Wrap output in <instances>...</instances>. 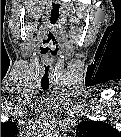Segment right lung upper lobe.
Masks as SVG:
<instances>
[{
	"instance_id": "cb5924a9",
	"label": "right lung upper lobe",
	"mask_w": 121,
	"mask_h": 137,
	"mask_svg": "<svg viewBox=\"0 0 121 137\" xmlns=\"http://www.w3.org/2000/svg\"><path fill=\"white\" fill-rule=\"evenodd\" d=\"M16 125L13 122H5L1 123V132L5 134H9V131H15L16 130Z\"/></svg>"
}]
</instances>
